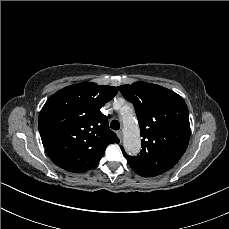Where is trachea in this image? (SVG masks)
Segmentation results:
<instances>
[{
    "instance_id": "1",
    "label": "trachea",
    "mask_w": 229,
    "mask_h": 229,
    "mask_svg": "<svg viewBox=\"0 0 229 229\" xmlns=\"http://www.w3.org/2000/svg\"><path fill=\"white\" fill-rule=\"evenodd\" d=\"M111 129L117 131L120 128V123L117 120H113L110 123Z\"/></svg>"
}]
</instances>
